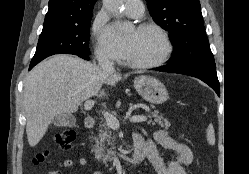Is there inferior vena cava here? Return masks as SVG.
<instances>
[{
	"mask_svg": "<svg viewBox=\"0 0 249 174\" xmlns=\"http://www.w3.org/2000/svg\"><path fill=\"white\" fill-rule=\"evenodd\" d=\"M98 65L103 70L104 73L114 72V64L111 61L100 58L98 59Z\"/></svg>",
	"mask_w": 249,
	"mask_h": 174,
	"instance_id": "602c4592",
	"label": "inferior vena cava"
}]
</instances>
